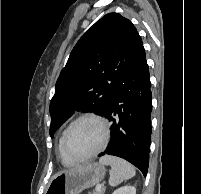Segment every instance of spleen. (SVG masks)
Masks as SVG:
<instances>
[{"label": "spleen", "instance_id": "1", "mask_svg": "<svg viewBox=\"0 0 201 194\" xmlns=\"http://www.w3.org/2000/svg\"><path fill=\"white\" fill-rule=\"evenodd\" d=\"M99 162L102 165L111 166L109 184L112 187L134 177L136 173L134 167L130 163L118 157L106 155L101 157Z\"/></svg>", "mask_w": 201, "mask_h": 194}]
</instances>
